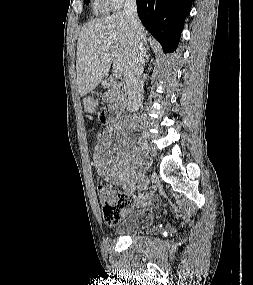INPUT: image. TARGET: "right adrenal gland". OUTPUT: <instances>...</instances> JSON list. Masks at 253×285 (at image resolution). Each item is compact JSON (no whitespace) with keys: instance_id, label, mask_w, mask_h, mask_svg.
<instances>
[{"instance_id":"obj_1","label":"right adrenal gland","mask_w":253,"mask_h":285,"mask_svg":"<svg viewBox=\"0 0 253 285\" xmlns=\"http://www.w3.org/2000/svg\"><path fill=\"white\" fill-rule=\"evenodd\" d=\"M147 50H148V48H147ZM149 57H150V55H149V53L147 52V54H146V56H145V61H146V62L149 61Z\"/></svg>"}]
</instances>
